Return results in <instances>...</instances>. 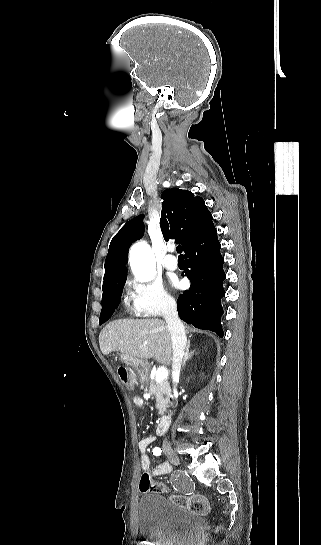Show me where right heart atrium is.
<instances>
[{"label": "right heart atrium", "mask_w": 321, "mask_h": 545, "mask_svg": "<svg viewBox=\"0 0 321 545\" xmlns=\"http://www.w3.org/2000/svg\"><path fill=\"white\" fill-rule=\"evenodd\" d=\"M126 296L132 313L138 317H161L176 307V300L155 276L145 281L131 279L126 286Z\"/></svg>", "instance_id": "1"}]
</instances>
